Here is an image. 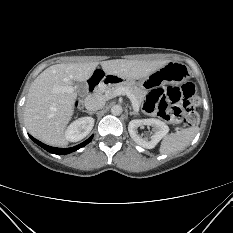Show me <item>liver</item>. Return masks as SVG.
<instances>
[{
    "instance_id": "obj_1",
    "label": "liver",
    "mask_w": 233,
    "mask_h": 233,
    "mask_svg": "<svg viewBox=\"0 0 233 233\" xmlns=\"http://www.w3.org/2000/svg\"><path fill=\"white\" fill-rule=\"evenodd\" d=\"M167 60L137 61L114 59L100 63L106 75L139 80L167 64ZM98 62L56 64L45 69L33 81L24 106L28 132L51 146H65V129L74 114L77 92L74 82H85Z\"/></svg>"
}]
</instances>
